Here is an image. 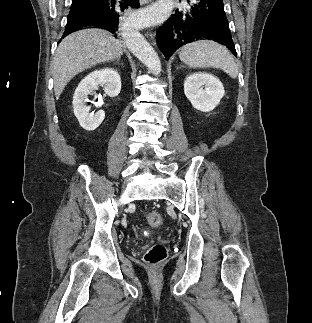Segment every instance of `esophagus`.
<instances>
[{
    "instance_id": "esophagus-1",
    "label": "esophagus",
    "mask_w": 312,
    "mask_h": 323,
    "mask_svg": "<svg viewBox=\"0 0 312 323\" xmlns=\"http://www.w3.org/2000/svg\"><path fill=\"white\" fill-rule=\"evenodd\" d=\"M151 0H140L141 5H144L145 3H149Z\"/></svg>"
}]
</instances>
